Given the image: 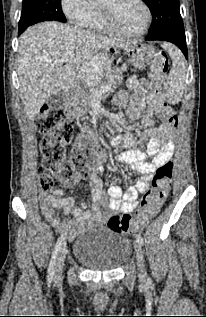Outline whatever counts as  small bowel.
<instances>
[{
	"instance_id": "small-bowel-1",
	"label": "small bowel",
	"mask_w": 206,
	"mask_h": 317,
	"mask_svg": "<svg viewBox=\"0 0 206 317\" xmlns=\"http://www.w3.org/2000/svg\"><path fill=\"white\" fill-rule=\"evenodd\" d=\"M127 87L133 92L132 96L128 98L121 95L117 102L126 107L129 121L138 119L143 112L144 130L138 136H114L112 144L124 149L116 156V161L130 165L131 170L140 175L141 179L135 185H128L126 192L118 185L111 184L106 196L99 178L102 168L98 167L90 174V208L83 199L78 202L73 197H65L62 189L42 196L39 203L46 219L71 239L87 225L104 224L116 211L133 212L138 205L139 196L147 190L153 173L158 167L170 161L173 155L172 139L175 126L169 124L168 118L174 111L165 102L160 88L153 85L150 80L138 79L136 76L128 79ZM136 145H140L141 148H135ZM103 160L104 154H97L96 162L101 164ZM75 182L67 183L65 186L72 187ZM59 209L71 218L59 215Z\"/></svg>"
}]
</instances>
